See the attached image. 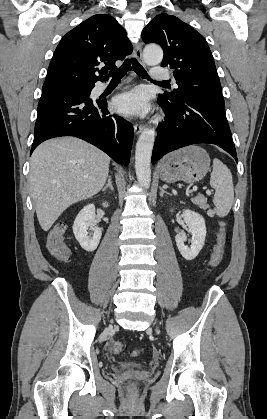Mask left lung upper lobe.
Listing matches in <instances>:
<instances>
[{
    "label": "left lung upper lobe",
    "instance_id": "left-lung-upper-lobe-1",
    "mask_svg": "<svg viewBox=\"0 0 267 419\" xmlns=\"http://www.w3.org/2000/svg\"><path fill=\"white\" fill-rule=\"evenodd\" d=\"M145 43H157L164 51L162 67L173 69L178 88L158 99L179 103L203 93L222 95L212 53L205 38L179 18L159 14L142 31Z\"/></svg>",
    "mask_w": 267,
    "mask_h": 419
}]
</instances>
